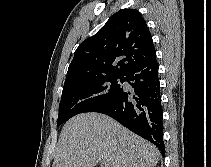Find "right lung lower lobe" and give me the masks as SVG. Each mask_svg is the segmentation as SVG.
I'll return each mask as SVG.
<instances>
[{
    "instance_id": "right-lung-lower-lobe-1",
    "label": "right lung lower lobe",
    "mask_w": 211,
    "mask_h": 167,
    "mask_svg": "<svg viewBox=\"0 0 211 167\" xmlns=\"http://www.w3.org/2000/svg\"><path fill=\"white\" fill-rule=\"evenodd\" d=\"M132 90L123 91L96 112L106 114L126 128L156 145L165 153L162 106L156 55L124 74Z\"/></svg>"
}]
</instances>
